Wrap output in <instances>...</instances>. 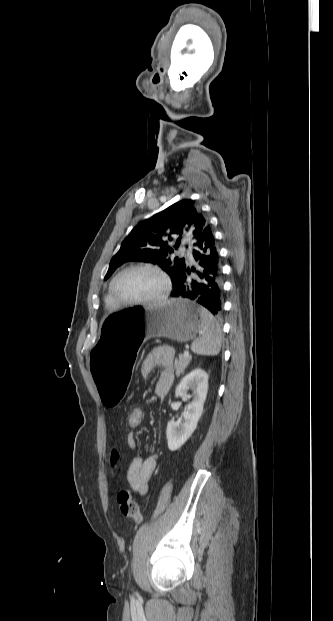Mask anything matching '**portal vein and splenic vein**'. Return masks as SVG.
I'll list each match as a JSON object with an SVG mask.
<instances>
[{"mask_svg": "<svg viewBox=\"0 0 333 621\" xmlns=\"http://www.w3.org/2000/svg\"><path fill=\"white\" fill-rule=\"evenodd\" d=\"M184 356L185 357H189V352L188 351H184Z\"/></svg>", "mask_w": 333, "mask_h": 621, "instance_id": "obj_1", "label": "portal vein and splenic vein"}]
</instances>
